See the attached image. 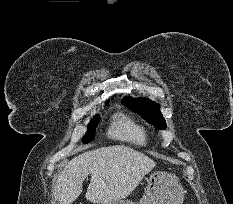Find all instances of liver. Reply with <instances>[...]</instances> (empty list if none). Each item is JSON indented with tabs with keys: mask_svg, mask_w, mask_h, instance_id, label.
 Instances as JSON below:
<instances>
[{
	"mask_svg": "<svg viewBox=\"0 0 233 204\" xmlns=\"http://www.w3.org/2000/svg\"><path fill=\"white\" fill-rule=\"evenodd\" d=\"M156 163L143 153L125 145L101 147L70 160L53 188L55 204H72L83 191L90 174L86 199L94 204L116 202L130 195Z\"/></svg>",
	"mask_w": 233,
	"mask_h": 204,
	"instance_id": "obj_1",
	"label": "liver"
}]
</instances>
